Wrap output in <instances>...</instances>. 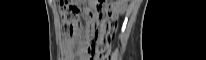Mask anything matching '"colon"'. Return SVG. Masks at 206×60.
Listing matches in <instances>:
<instances>
[{
	"label": "colon",
	"mask_w": 206,
	"mask_h": 60,
	"mask_svg": "<svg viewBox=\"0 0 206 60\" xmlns=\"http://www.w3.org/2000/svg\"><path fill=\"white\" fill-rule=\"evenodd\" d=\"M101 5L95 7V11L101 10ZM82 5L77 1H61L60 15L63 23L71 30L78 21ZM107 19L102 20L95 26V35L85 45V54L90 60H108L110 57L111 41L115 26L113 12L105 9Z\"/></svg>",
	"instance_id": "colon-1"
}]
</instances>
